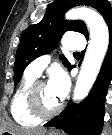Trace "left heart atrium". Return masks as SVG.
<instances>
[{
  "mask_svg": "<svg viewBox=\"0 0 112 135\" xmlns=\"http://www.w3.org/2000/svg\"><path fill=\"white\" fill-rule=\"evenodd\" d=\"M47 85L50 88L53 95L58 100H61L67 94L68 89H69L68 76L61 69L55 70L51 73L50 79Z\"/></svg>",
  "mask_w": 112,
  "mask_h": 135,
  "instance_id": "39dd6f15",
  "label": "left heart atrium"
}]
</instances>
